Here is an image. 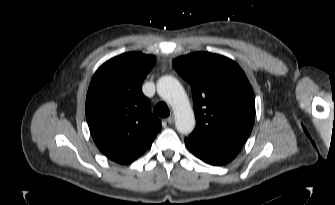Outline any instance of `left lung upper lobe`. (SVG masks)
<instances>
[{
    "label": "left lung upper lobe",
    "mask_w": 335,
    "mask_h": 205,
    "mask_svg": "<svg viewBox=\"0 0 335 205\" xmlns=\"http://www.w3.org/2000/svg\"><path fill=\"white\" fill-rule=\"evenodd\" d=\"M172 65L192 88L196 127L189 137L240 149L255 119V96L243 70L208 52L178 57Z\"/></svg>",
    "instance_id": "left-lung-upper-lobe-1"
}]
</instances>
